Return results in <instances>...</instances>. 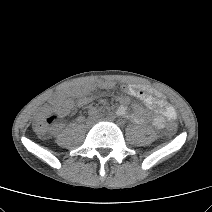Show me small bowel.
<instances>
[{
	"label": "small bowel",
	"mask_w": 212,
	"mask_h": 212,
	"mask_svg": "<svg viewBox=\"0 0 212 212\" xmlns=\"http://www.w3.org/2000/svg\"><path fill=\"white\" fill-rule=\"evenodd\" d=\"M114 87L115 84L107 80L81 83L58 95L53 100V107L61 116H66L75 105L84 107L91 103L96 98L97 90L111 91ZM121 91L122 94L116 97L119 102L116 113L119 116H128L130 97H135L148 107H159L160 109L159 115L151 117L143 108L135 107L132 119L136 123L146 124L151 122L155 127L163 128L167 121L175 120L177 117L175 108L165 100L160 92L151 87L126 84L121 86ZM58 129L59 127H56V130Z\"/></svg>",
	"instance_id": "obj_1"
}]
</instances>
